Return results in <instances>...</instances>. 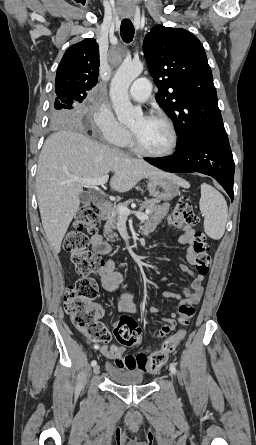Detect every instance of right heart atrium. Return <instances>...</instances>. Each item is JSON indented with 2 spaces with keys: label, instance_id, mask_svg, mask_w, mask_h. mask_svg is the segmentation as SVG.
<instances>
[{
  "label": "right heart atrium",
  "instance_id": "obj_1",
  "mask_svg": "<svg viewBox=\"0 0 256 445\" xmlns=\"http://www.w3.org/2000/svg\"><path fill=\"white\" fill-rule=\"evenodd\" d=\"M94 129L102 140L112 145H122L129 138V132L105 103H99L93 113Z\"/></svg>",
  "mask_w": 256,
  "mask_h": 445
}]
</instances>
